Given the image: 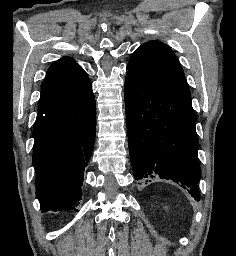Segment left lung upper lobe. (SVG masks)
Wrapping results in <instances>:
<instances>
[{
    "label": "left lung upper lobe",
    "instance_id": "1",
    "mask_svg": "<svg viewBox=\"0 0 236 256\" xmlns=\"http://www.w3.org/2000/svg\"><path fill=\"white\" fill-rule=\"evenodd\" d=\"M128 72L191 101L186 78L173 51L164 43L150 41L139 46L128 63Z\"/></svg>",
    "mask_w": 236,
    "mask_h": 256
}]
</instances>
